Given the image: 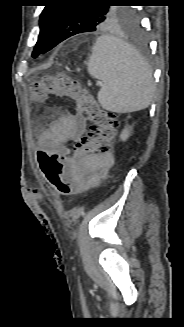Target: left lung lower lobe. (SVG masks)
<instances>
[{
	"label": "left lung lower lobe",
	"instance_id": "1",
	"mask_svg": "<svg viewBox=\"0 0 184 327\" xmlns=\"http://www.w3.org/2000/svg\"><path fill=\"white\" fill-rule=\"evenodd\" d=\"M70 28H64L63 22L57 25L56 30L54 31L49 43L47 44L46 48L42 53H45L52 48H54L57 44L62 42L63 40L78 34V32L74 33L75 30H69ZM130 35L132 36L134 45L139 49L141 52H147L149 49V43L147 37L145 36L142 27L140 24H136L135 26L129 28Z\"/></svg>",
	"mask_w": 184,
	"mask_h": 327
}]
</instances>
